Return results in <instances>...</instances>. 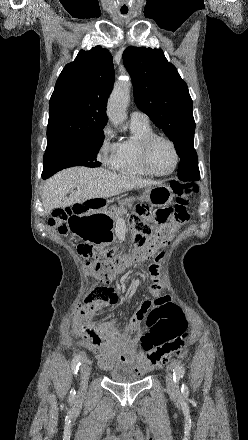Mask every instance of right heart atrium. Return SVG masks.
I'll return each mask as SVG.
<instances>
[{"instance_id": "d8ad5b80", "label": "right heart atrium", "mask_w": 248, "mask_h": 440, "mask_svg": "<svg viewBox=\"0 0 248 440\" xmlns=\"http://www.w3.org/2000/svg\"><path fill=\"white\" fill-rule=\"evenodd\" d=\"M118 143L114 141V133L106 125L102 130V140L98 149L100 161L107 167L113 168L116 162Z\"/></svg>"}]
</instances>
